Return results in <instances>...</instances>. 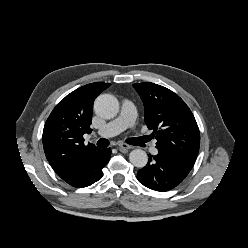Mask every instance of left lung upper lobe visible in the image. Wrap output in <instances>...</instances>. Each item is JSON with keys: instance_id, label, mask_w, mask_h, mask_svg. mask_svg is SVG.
I'll return each mask as SVG.
<instances>
[{"instance_id": "obj_1", "label": "left lung upper lobe", "mask_w": 248, "mask_h": 248, "mask_svg": "<svg viewBox=\"0 0 248 248\" xmlns=\"http://www.w3.org/2000/svg\"><path fill=\"white\" fill-rule=\"evenodd\" d=\"M145 110V123L157 139L158 151L195 161L200 133L196 120L185 102L171 90L151 83L133 84Z\"/></svg>"}]
</instances>
